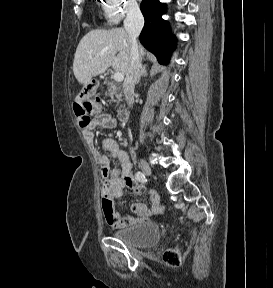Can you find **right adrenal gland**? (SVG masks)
Here are the masks:
<instances>
[{
	"label": "right adrenal gland",
	"instance_id": "1",
	"mask_svg": "<svg viewBox=\"0 0 273 288\" xmlns=\"http://www.w3.org/2000/svg\"><path fill=\"white\" fill-rule=\"evenodd\" d=\"M146 67H147L146 65H142L140 67V71H139V74H138V79H137V82H136L137 84L140 82V79H141L142 76H147L148 75Z\"/></svg>",
	"mask_w": 273,
	"mask_h": 288
}]
</instances>
